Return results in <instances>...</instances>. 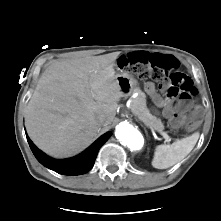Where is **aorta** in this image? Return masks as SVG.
<instances>
[{"mask_svg": "<svg viewBox=\"0 0 221 221\" xmlns=\"http://www.w3.org/2000/svg\"><path fill=\"white\" fill-rule=\"evenodd\" d=\"M115 136L131 150L141 149L144 143L142 134L127 122H122L116 126Z\"/></svg>", "mask_w": 221, "mask_h": 221, "instance_id": "aorta-1", "label": "aorta"}]
</instances>
